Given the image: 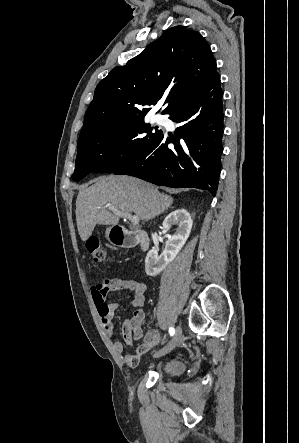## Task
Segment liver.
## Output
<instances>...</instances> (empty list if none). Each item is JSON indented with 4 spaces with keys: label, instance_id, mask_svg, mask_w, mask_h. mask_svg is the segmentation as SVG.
Segmentation results:
<instances>
[{
    "label": "liver",
    "instance_id": "1",
    "mask_svg": "<svg viewBox=\"0 0 299 443\" xmlns=\"http://www.w3.org/2000/svg\"><path fill=\"white\" fill-rule=\"evenodd\" d=\"M91 183L79 190L76 199V221L82 241L90 238L96 224H117L120 215L113 210L134 213L142 221H149L173 203V198L158 188L129 176H100Z\"/></svg>",
    "mask_w": 299,
    "mask_h": 443
}]
</instances>
